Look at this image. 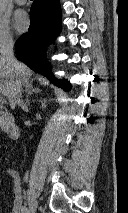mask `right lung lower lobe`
<instances>
[{
  "label": "right lung lower lobe",
  "instance_id": "obj_1",
  "mask_svg": "<svg viewBox=\"0 0 128 213\" xmlns=\"http://www.w3.org/2000/svg\"><path fill=\"white\" fill-rule=\"evenodd\" d=\"M31 24L28 32L16 41L18 58L29 67L52 79L55 84L69 91L71 85L67 80H56L51 73L44 52L61 31V11L59 0H34L30 9Z\"/></svg>",
  "mask_w": 128,
  "mask_h": 213
}]
</instances>
